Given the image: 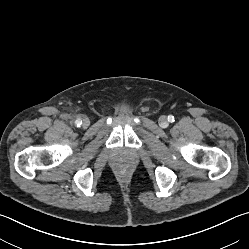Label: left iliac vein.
Here are the masks:
<instances>
[{"instance_id": "obj_1", "label": "left iliac vein", "mask_w": 249, "mask_h": 249, "mask_svg": "<svg viewBox=\"0 0 249 249\" xmlns=\"http://www.w3.org/2000/svg\"><path fill=\"white\" fill-rule=\"evenodd\" d=\"M168 120H167V117L166 116H161L159 118V125L162 127V128H166L168 126Z\"/></svg>"}]
</instances>
